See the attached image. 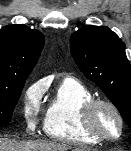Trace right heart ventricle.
Listing matches in <instances>:
<instances>
[{
  "label": "right heart ventricle",
  "mask_w": 131,
  "mask_h": 151,
  "mask_svg": "<svg viewBox=\"0 0 131 151\" xmlns=\"http://www.w3.org/2000/svg\"><path fill=\"white\" fill-rule=\"evenodd\" d=\"M93 98L91 91L74 78H65L50 98L43 120L45 134L58 141L95 145L100 142L82 124V109Z\"/></svg>",
  "instance_id": "e07e8e85"
}]
</instances>
